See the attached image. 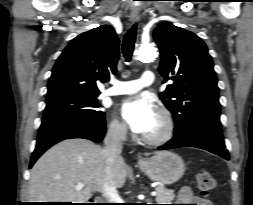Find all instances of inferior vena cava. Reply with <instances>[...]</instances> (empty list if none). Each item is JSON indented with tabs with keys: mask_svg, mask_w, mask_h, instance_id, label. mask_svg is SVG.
<instances>
[{
	"mask_svg": "<svg viewBox=\"0 0 253 205\" xmlns=\"http://www.w3.org/2000/svg\"><path fill=\"white\" fill-rule=\"evenodd\" d=\"M127 127L125 124L112 125L105 136L103 154L106 158V182L103 187V197L107 203H117L119 195L112 180V168L116 158L120 157L123 141L126 139Z\"/></svg>",
	"mask_w": 253,
	"mask_h": 205,
	"instance_id": "obj_1",
	"label": "inferior vena cava"
}]
</instances>
